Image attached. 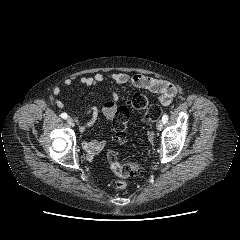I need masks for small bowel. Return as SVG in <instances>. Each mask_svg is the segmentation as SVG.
<instances>
[{
    "mask_svg": "<svg viewBox=\"0 0 240 240\" xmlns=\"http://www.w3.org/2000/svg\"><path fill=\"white\" fill-rule=\"evenodd\" d=\"M106 80H110L116 84L124 85L131 84L136 88L148 90L159 95V101L164 106H169L177 94V88L168 81L152 76L136 73L130 75L123 72H111L108 74L96 73L93 76H84L79 79L80 84L88 87L103 85ZM73 84V80L68 78L64 81V87L69 88ZM110 89V88H109ZM62 90L60 88L54 89L55 96H60ZM56 104L60 108H65V104L56 99ZM118 108L117 95L112 92V97L107 100L102 107V114L107 121H111ZM85 115L90 116V119L81 124L80 130L91 127L97 120L99 111L96 107H90L85 111ZM106 141L104 139H92L83 142L82 146L89 155L99 153L105 147Z\"/></svg>",
    "mask_w": 240,
    "mask_h": 240,
    "instance_id": "c3829d8e",
    "label": "small bowel"
}]
</instances>
